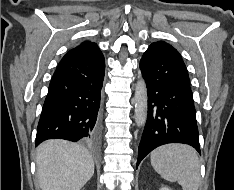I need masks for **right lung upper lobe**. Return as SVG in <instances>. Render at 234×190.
I'll return each mask as SVG.
<instances>
[{
	"instance_id": "obj_1",
	"label": "right lung upper lobe",
	"mask_w": 234,
	"mask_h": 190,
	"mask_svg": "<svg viewBox=\"0 0 234 190\" xmlns=\"http://www.w3.org/2000/svg\"><path fill=\"white\" fill-rule=\"evenodd\" d=\"M87 46H97V45L94 42L85 41L73 49L80 48V47H87Z\"/></svg>"
}]
</instances>
